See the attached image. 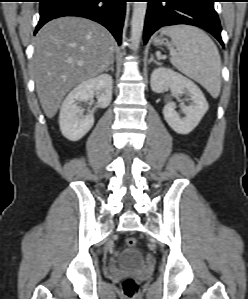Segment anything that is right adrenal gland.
<instances>
[{
    "label": "right adrenal gland",
    "instance_id": "2a0ac1e0",
    "mask_svg": "<svg viewBox=\"0 0 248 299\" xmlns=\"http://www.w3.org/2000/svg\"><path fill=\"white\" fill-rule=\"evenodd\" d=\"M112 71L114 72V59L111 61L110 66L105 70V72Z\"/></svg>",
    "mask_w": 248,
    "mask_h": 299
}]
</instances>
